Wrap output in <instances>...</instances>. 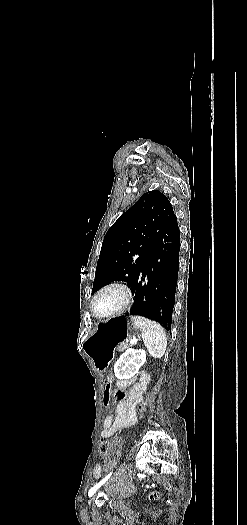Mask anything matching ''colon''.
<instances>
[{
  "label": "colon",
  "mask_w": 247,
  "mask_h": 525,
  "mask_svg": "<svg viewBox=\"0 0 247 525\" xmlns=\"http://www.w3.org/2000/svg\"><path fill=\"white\" fill-rule=\"evenodd\" d=\"M115 382H116V377L114 375L108 374L104 378V382L102 383L104 390L100 395L104 408H107V406L111 404L110 398L113 395L112 390H113V386ZM110 451H111V442L108 440L101 442L100 452H101V457L104 461H109L111 459ZM159 496H160L159 492H156V491L151 494L152 499H156Z\"/></svg>",
  "instance_id": "1"
}]
</instances>
